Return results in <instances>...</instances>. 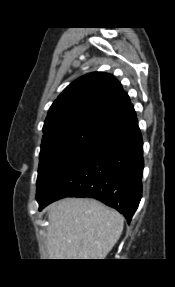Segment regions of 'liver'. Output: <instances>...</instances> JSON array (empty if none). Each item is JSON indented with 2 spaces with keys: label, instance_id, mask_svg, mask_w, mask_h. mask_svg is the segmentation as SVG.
I'll use <instances>...</instances> for the list:
<instances>
[{
  "label": "liver",
  "instance_id": "obj_1",
  "mask_svg": "<svg viewBox=\"0 0 175 287\" xmlns=\"http://www.w3.org/2000/svg\"><path fill=\"white\" fill-rule=\"evenodd\" d=\"M49 259H105L121 236V214L93 199L68 198L49 206Z\"/></svg>",
  "mask_w": 175,
  "mask_h": 287
}]
</instances>
